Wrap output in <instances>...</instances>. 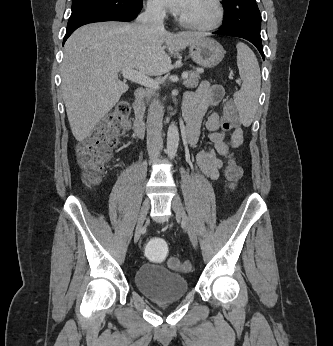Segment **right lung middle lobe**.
<instances>
[{
	"label": "right lung middle lobe",
	"mask_w": 333,
	"mask_h": 346,
	"mask_svg": "<svg viewBox=\"0 0 333 346\" xmlns=\"http://www.w3.org/2000/svg\"><path fill=\"white\" fill-rule=\"evenodd\" d=\"M142 0H73L68 24L91 13L126 14L139 7Z\"/></svg>",
	"instance_id": "right-lung-middle-lobe-1"
}]
</instances>
